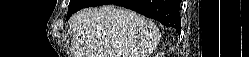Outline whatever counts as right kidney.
<instances>
[{
  "instance_id": "ca27d5eb",
  "label": "right kidney",
  "mask_w": 249,
  "mask_h": 57,
  "mask_svg": "<svg viewBox=\"0 0 249 57\" xmlns=\"http://www.w3.org/2000/svg\"><path fill=\"white\" fill-rule=\"evenodd\" d=\"M162 54H160V53H158L157 55H156V57H160Z\"/></svg>"
}]
</instances>
